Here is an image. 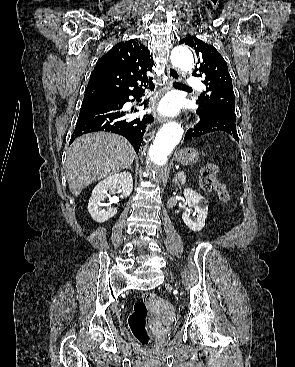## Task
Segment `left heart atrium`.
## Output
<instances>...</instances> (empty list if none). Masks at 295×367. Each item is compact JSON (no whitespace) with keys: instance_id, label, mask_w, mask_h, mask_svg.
Masks as SVG:
<instances>
[{"instance_id":"obj_1","label":"left heart atrium","mask_w":295,"mask_h":367,"mask_svg":"<svg viewBox=\"0 0 295 367\" xmlns=\"http://www.w3.org/2000/svg\"><path fill=\"white\" fill-rule=\"evenodd\" d=\"M159 111L165 115L173 116L176 115L180 109V101L175 96H167L162 100L159 105Z\"/></svg>"}]
</instances>
